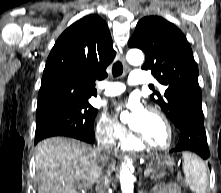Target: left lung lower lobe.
Here are the masks:
<instances>
[{
    "instance_id": "left-lung-lower-lobe-1",
    "label": "left lung lower lobe",
    "mask_w": 221,
    "mask_h": 193,
    "mask_svg": "<svg viewBox=\"0 0 221 193\" xmlns=\"http://www.w3.org/2000/svg\"><path fill=\"white\" fill-rule=\"evenodd\" d=\"M203 119L204 115L201 103L194 102L189 104L187 112L183 117V124L178 128L181 138L178 145L171 151H189L207 160L210 157V152Z\"/></svg>"
}]
</instances>
